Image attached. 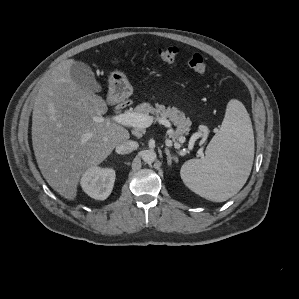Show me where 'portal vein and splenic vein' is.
I'll return each mask as SVG.
<instances>
[{"mask_svg": "<svg viewBox=\"0 0 299 299\" xmlns=\"http://www.w3.org/2000/svg\"><path fill=\"white\" fill-rule=\"evenodd\" d=\"M98 122H115L124 126L128 127H134L137 129H142V128H147L152 125L153 123V117L149 115H144V114H138V113H133V112H125V113H120L117 115H114L112 117H108L106 119L104 118H98ZM158 122L165 127L170 128L171 124L166 118H158ZM168 133H172V129L168 130ZM88 137H86L87 139ZM86 139H84L82 142H84ZM167 146H171L172 142L170 140H167L166 142ZM201 156H203V153H201Z\"/></svg>", "mask_w": 299, "mask_h": 299, "instance_id": "portal-vein-and-splenic-vein-1", "label": "portal vein and splenic vein"}]
</instances>
